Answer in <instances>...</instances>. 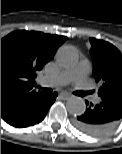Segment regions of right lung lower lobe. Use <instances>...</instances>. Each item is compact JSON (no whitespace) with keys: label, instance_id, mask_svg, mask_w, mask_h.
Here are the masks:
<instances>
[{"label":"right lung lower lobe","instance_id":"98d812e1","mask_svg":"<svg viewBox=\"0 0 122 154\" xmlns=\"http://www.w3.org/2000/svg\"><path fill=\"white\" fill-rule=\"evenodd\" d=\"M57 93H40L24 100L16 106L8 115L2 117L11 126L25 128L41 122L50 106L55 102Z\"/></svg>","mask_w":122,"mask_h":154}]
</instances>
